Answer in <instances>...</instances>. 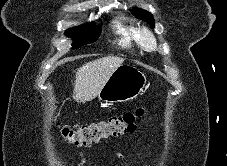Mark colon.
<instances>
[{
	"label": "colon",
	"mask_w": 227,
	"mask_h": 166,
	"mask_svg": "<svg viewBox=\"0 0 227 166\" xmlns=\"http://www.w3.org/2000/svg\"><path fill=\"white\" fill-rule=\"evenodd\" d=\"M57 116L59 113L57 112ZM145 115L144 108L110 116L97 123L62 126L56 123L55 128L63 141L76 146L89 147L109 138L120 137L134 132L140 119Z\"/></svg>",
	"instance_id": "1"
}]
</instances>
